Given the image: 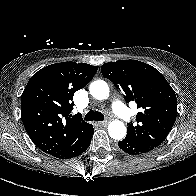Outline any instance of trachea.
I'll use <instances>...</instances> for the list:
<instances>
[{
	"label": "trachea",
	"mask_w": 196,
	"mask_h": 196,
	"mask_svg": "<svg viewBox=\"0 0 196 196\" xmlns=\"http://www.w3.org/2000/svg\"><path fill=\"white\" fill-rule=\"evenodd\" d=\"M86 121H103L104 120V115L101 112L90 110L84 118Z\"/></svg>",
	"instance_id": "3493384b"
}]
</instances>
